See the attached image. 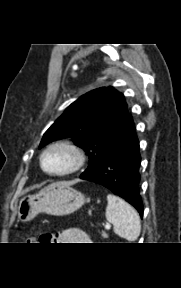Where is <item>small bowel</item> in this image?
Returning <instances> with one entry per match:
<instances>
[{
    "mask_svg": "<svg viewBox=\"0 0 181 288\" xmlns=\"http://www.w3.org/2000/svg\"><path fill=\"white\" fill-rule=\"evenodd\" d=\"M46 237L45 242L48 243H89L90 237L89 235L81 229L78 228H70L63 230L56 235H44Z\"/></svg>",
    "mask_w": 181,
    "mask_h": 288,
    "instance_id": "1",
    "label": "small bowel"
}]
</instances>
